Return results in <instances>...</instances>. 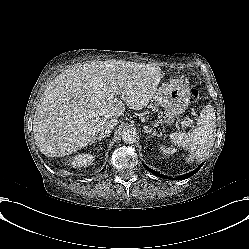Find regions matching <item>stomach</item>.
<instances>
[{
    "label": "stomach",
    "instance_id": "stomach-1",
    "mask_svg": "<svg viewBox=\"0 0 249 249\" xmlns=\"http://www.w3.org/2000/svg\"><path fill=\"white\" fill-rule=\"evenodd\" d=\"M190 90L181 82H170L159 88L155 95L156 102L163 107L165 123L183 113L190 103Z\"/></svg>",
    "mask_w": 249,
    "mask_h": 249
}]
</instances>
